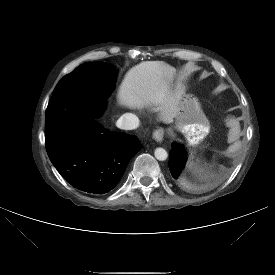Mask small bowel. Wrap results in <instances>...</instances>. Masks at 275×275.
<instances>
[{"instance_id":"small-bowel-1","label":"small bowel","mask_w":275,"mask_h":275,"mask_svg":"<svg viewBox=\"0 0 275 275\" xmlns=\"http://www.w3.org/2000/svg\"><path fill=\"white\" fill-rule=\"evenodd\" d=\"M227 125L229 127H231L230 130V134L238 132L239 131V126H238V122L236 120H230L229 122H227ZM230 140H232V136H230ZM240 148V143L236 142L234 143V145L230 146L227 151L225 152V154H230L232 152H235L236 150H238Z\"/></svg>"}]
</instances>
